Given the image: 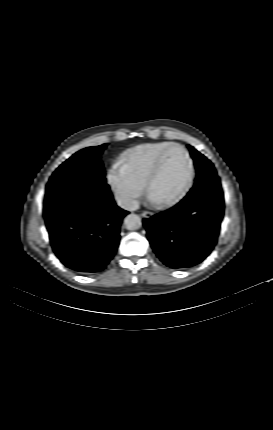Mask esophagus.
<instances>
[{
    "label": "esophagus",
    "instance_id": "1",
    "mask_svg": "<svg viewBox=\"0 0 273 430\" xmlns=\"http://www.w3.org/2000/svg\"><path fill=\"white\" fill-rule=\"evenodd\" d=\"M141 215H142V217H144V218H151V217H152V215H153V213H152V212H150V211H143Z\"/></svg>",
    "mask_w": 273,
    "mask_h": 430
}]
</instances>
